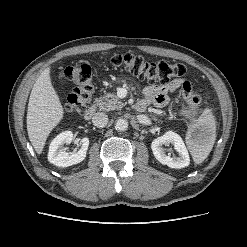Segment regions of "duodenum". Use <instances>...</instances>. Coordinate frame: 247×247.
Masks as SVG:
<instances>
[{
	"label": "duodenum",
	"mask_w": 247,
	"mask_h": 247,
	"mask_svg": "<svg viewBox=\"0 0 247 247\" xmlns=\"http://www.w3.org/2000/svg\"><path fill=\"white\" fill-rule=\"evenodd\" d=\"M135 110L138 112H143L147 108V104L143 101H139L135 104L134 106ZM96 112V107L95 106H90L84 113V118L86 120H90Z\"/></svg>",
	"instance_id": "1"
}]
</instances>
